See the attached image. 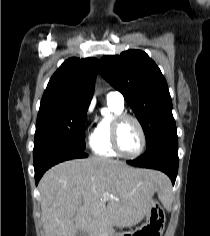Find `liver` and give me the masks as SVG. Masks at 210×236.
<instances>
[{"instance_id":"obj_1","label":"liver","mask_w":210,"mask_h":236,"mask_svg":"<svg viewBox=\"0 0 210 236\" xmlns=\"http://www.w3.org/2000/svg\"><path fill=\"white\" fill-rule=\"evenodd\" d=\"M169 186L161 172L101 157L55 165L39 183L45 236H76L79 230L105 236L111 225L132 227L146 216L154 193L163 201Z\"/></svg>"}]
</instances>
